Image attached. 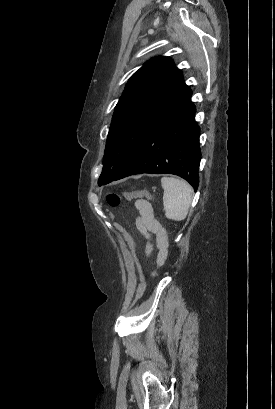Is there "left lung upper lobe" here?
I'll list each match as a JSON object with an SVG mask.
<instances>
[{
  "mask_svg": "<svg viewBox=\"0 0 275 409\" xmlns=\"http://www.w3.org/2000/svg\"><path fill=\"white\" fill-rule=\"evenodd\" d=\"M190 94L168 57H155L137 70L115 107L98 185L112 182L147 130Z\"/></svg>",
  "mask_w": 275,
  "mask_h": 409,
  "instance_id": "obj_1",
  "label": "left lung upper lobe"
}]
</instances>
